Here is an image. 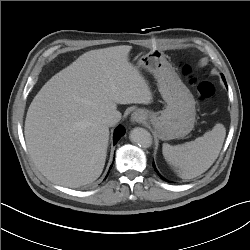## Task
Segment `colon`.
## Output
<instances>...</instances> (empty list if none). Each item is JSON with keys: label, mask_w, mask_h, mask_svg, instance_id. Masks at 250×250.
Segmentation results:
<instances>
[{"label": "colon", "mask_w": 250, "mask_h": 250, "mask_svg": "<svg viewBox=\"0 0 250 250\" xmlns=\"http://www.w3.org/2000/svg\"><path fill=\"white\" fill-rule=\"evenodd\" d=\"M183 71L187 75L191 74V68L189 66H185ZM192 82L196 85L197 94L200 100H209L214 96L215 87L211 82L207 80L198 81L194 76H192Z\"/></svg>", "instance_id": "obj_1"}]
</instances>
